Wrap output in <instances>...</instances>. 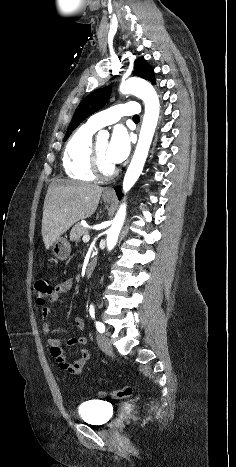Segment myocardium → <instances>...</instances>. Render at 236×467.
<instances>
[{
	"label": "myocardium",
	"mask_w": 236,
	"mask_h": 467,
	"mask_svg": "<svg viewBox=\"0 0 236 467\" xmlns=\"http://www.w3.org/2000/svg\"><path fill=\"white\" fill-rule=\"evenodd\" d=\"M91 169L96 177L102 179H110L117 172V168L114 165L108 169L103 166L96 144H93L91 149Z\"/></svg>",
	"instance_id": "obj_1"
}]
</instances>
